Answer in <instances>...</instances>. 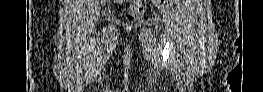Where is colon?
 <instances>
[{
  "label": "colon",
  "instance_id": "colon-1",
  "mask_svg": "<svg viewBox=\"0 0 263 92\" xmlns=\"http://www.w3.org/2000/svg\"><path fill=\"white\" fill-rule=\"evenodd\" d=\"M130 10L126 15V18L130 21L140 17L144 12L143 1L141 0H130Z\"/></svg>",
  "mask_w": 263,
  "mask_h": 92
}]
</instances>
